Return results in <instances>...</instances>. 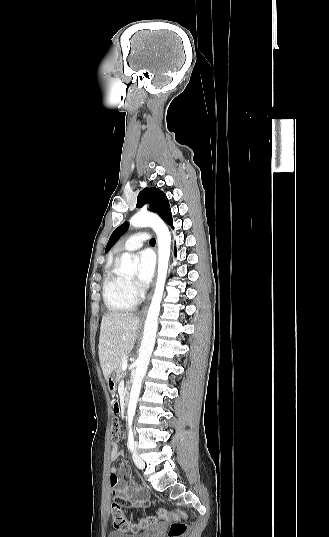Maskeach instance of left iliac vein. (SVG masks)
<instances>
[{"label":"left iliac vein","mask_w":329,"mask_h":537,"mask_svg":"<svg viewBox=\"0 0 329 537\" xmlns=\"http://www.w3.org/2000/svg\"><path fill=\"white\" fill-rule=\"evenodd\" d=\"M136 449V447H135ZM133 461L135 463V465L139 468V469H143L145 464H144V461L142 460V458L139 457V455L137 453H133Z\"/></svg>","instance_id":"1"}]
</instances>
